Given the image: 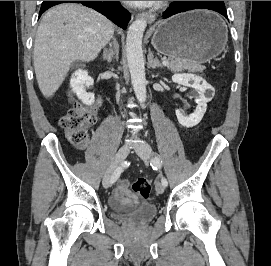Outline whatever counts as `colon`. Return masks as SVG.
Instances as JSON below:
<instances>
[{"label":"colon","instance_id":"colon-1","mask_svg":"<svg viewBox=\"0 0 271 266\" xmlns=\"http://www.w3.org/2000/svg\"><path fill=\"white\" fill-rule=\"evenodd\" d=\"M97 105L85 106L80 102L62 117L61 126L68 141L77 148H83L88 141V128L96 120ZM133 191L143 198H148L151 193V184L145 178H138L132 185Z\"/></svg>","mask_w":271,"mask_h":266}]
</instances>
